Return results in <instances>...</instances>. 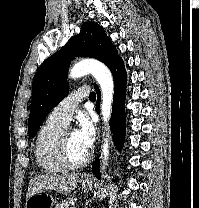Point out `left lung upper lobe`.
I'll use <instances>...</instances> for the list:
<instances>
[{"label": "left lung upper lobe", "mask_w": 199, "mask_h": 208, "mask_svg": "<svg viewBox=\"0 0 199 208\" xmlns=\"http://www.w3.org/2000/svg\"><path fill=\"white\" fill-rule=\"evenodd\" d=\"M76 56L98 59L109 69L121 60L102 27L97 23H83L81 32L73 36L61 50L47 58L34 76L28 120L30 136L36 135L48 113L67 96V73L71 60Z\"/></svg>", "instance_id": "1"}]
</instances>
